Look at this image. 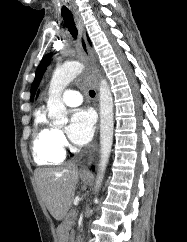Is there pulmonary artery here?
<instances>
[{"mask_svg":"<svg viewBox=\"0 0 187 242\" xmlns=\"http://www.w3.org/2000/svg\"><path fill=\"white\" fill-rule=\"evenodd\" d=\"M63 101L68 106H77L82 102L81 94L76 90H65L62 95Z\"/></svg>","mask_w":187,"mask_h":242,"instance_id":"1","label":"pulmonary artery"}]
</instances>
